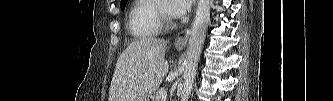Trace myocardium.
<instances>
[{
  "label": "myocardium",
  "mask_w": 333,
  "mask_h": 101,
  "mask_svg": "<svg viewBox=\"0 0 333 101\" xmlns=\"http://www.w3.org/2000/svg\"><path fill=\"white\" fill-rule=\"evenodd\" d=\"M158 16L160 19L161 26L164 28H172L175 26V22L173 17L168 12V8L166 6V2L160 1L158 4Z\"/></svg>",
  "instance_id": "obj_1"
}]
</instances>
